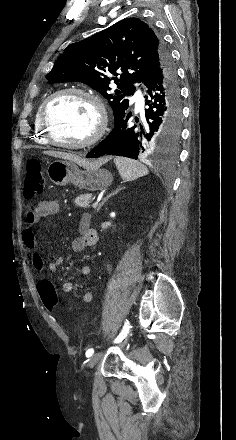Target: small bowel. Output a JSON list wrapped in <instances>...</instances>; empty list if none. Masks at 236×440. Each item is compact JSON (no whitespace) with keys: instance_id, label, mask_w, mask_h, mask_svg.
I'll return each mask as SVG.
<instances>
[{"instance_id":"1","label":"small bowel","mask_w":236,"mask_h":440,"mask_svg":"<svg viewBox=\"0 0 236 440\" xmlns=\"http://www.w3.org/2000/svg\"><path fill=\"white\" fill-rule=\"evenodd\" d=\"M59 212V202L57 200H43L36 206L30 208L25 217V227L22 233L24 245L32 251V263L34 269L38 273H43L45 270L55 272L63 263V257L55 255L53 259L46 265L42 255L37 251V239L35 225L42 217L53 216ZM98 241V234L96 230L91 227V218L85 214L79 223L78 235L72 240L71 248L73 251L79 252L86 247H93ZM93 268L90 265L81 267V274L84 277L92 275ZM74 290V283L72 281H65L62 284V291L70 293ZM81 299L84 303H90L93 299L91 291L86 290L82 293Z\"/></svg>"}]
</instances>
